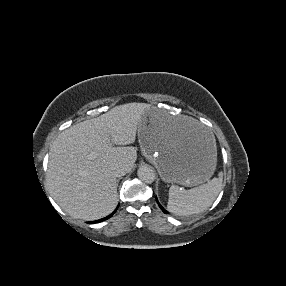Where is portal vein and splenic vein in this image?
Here are the masks:
<instances>
[{
    "label": "portal vein and splenic vein",
    "instance_id": "portal-vein-and-splenic-vein-1",
    "mask_svg": "<svg viewBox=\"0 0 286 286\" xmlns=\"http://www.w3.org/2000/svg\"><path fill=\"white\" fill-rule=\"evenodd\" d=\"M91 157H92V158H95V157H96V155H95L94 153H92V154H91Z\"/></svg>",
    "mask_w": 286,
    "mask_h": 286
}]
</instances>
